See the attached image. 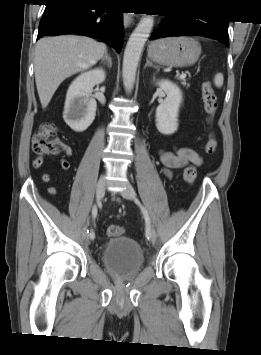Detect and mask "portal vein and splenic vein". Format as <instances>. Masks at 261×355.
Masks as SVG:
<instances>
[{
	"label": "portal vein and splenic vein",
	"instance_id": "18ae733b",
	"mask_svg": "<svg viewBox=\"0 0 261 355\" xmlns=\"http://www.w3.org/2000/svg\"><path fill=\"white\" fill-rule=\"evenodd\" d=\"M180 79H185L186 78V73H182L180 76H179Z\"/></svg>",
	"mask_w": 261,
	"mask_h": 355
}]
</instances>
